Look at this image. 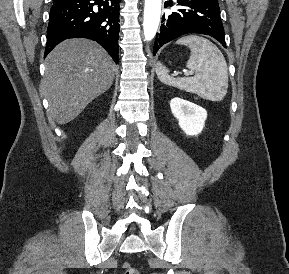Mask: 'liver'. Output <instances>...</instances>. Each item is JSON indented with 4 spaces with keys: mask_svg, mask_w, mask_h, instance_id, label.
<instances>
[{
    "mask_svg": "<svg viewBox=\"0 0 289 274\" xmlns=\"http://www.w3.org/2000/svg\"><path fill=\"white\" fill-rule=\"evenodd\" d=\"M115 63L96 42L67 39L46 59L41 90L49 114L58 124L74 120L95 98L112 85Z\"/></svg>",
    "mask_w": 289,
    "mask_h": 274,
    "instance_id": "6515ba94",
    "label": "liver"
}]
</instances>
